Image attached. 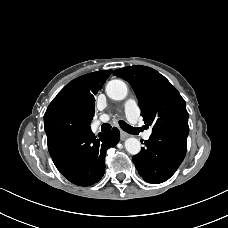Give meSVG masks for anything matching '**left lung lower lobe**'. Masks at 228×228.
Instances as JSON below:
<instances>
[{
  "label": "left lung lower lobe",
  "mask_w": 228,
  "mask_h": 228,
  "mask_svg": "<svg viewBox=\"0 0 228 228\" xmlns=\"http://www.w3.org/2000/svg\"><path fill=\"white\" fill-rule=\"evenodd\" d=\"M187 141L179 135L153 132L133 162L140 176L149 183L168 180L186 155Z\"/></svg>",
  "instance_id": "0a47b994"
}]
</instances>
